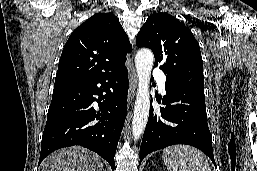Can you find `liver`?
Returning <instances> with one entry per match:
<instances>
[{"label": "liver", "mask_w": 257, "mask_h": 171, "mask_svg": "<svg viewBox=\"0 0 257 171\" xmlns=\"http://www.w3.org/2000/svg\"><path fill=\"white\" fill-rule=\"evenodd\" d=\"M40 171H102L101 158L80 147L63 148L50 154L40 165Z\"/></svg>", "instance_id": "liver-1"}]
</instances>
